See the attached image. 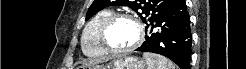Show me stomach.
I'll list each match as a JSON object with an SVG mask.
<instances>
[{
    "instance_id": "1",
    "label": "stomach",
    "mask_w": 246,
    "mask_h": 69,
    "mask_svg": "<svg viewBox=\"0 0 246 69\" xmlns=\"http://www.w3.org/2000/svg\"><path fill=\"white\" fill-rule=\"evenodd\" d=\"M145 62L137 57H121L112 60L108 64L101 65L97 63L82 65L77 69H146Z\"/></svg>"
}]
</instances>
